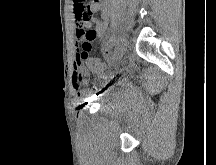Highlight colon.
<instances>
[{
  "label": "colon",
  "instance_id": "1",
  "mask_svg": "<svg viewBox=\"0 0 216 165\" xmlns=\"http://www.w3.org/2000/svg\"><path fill=\"white\" fill-rule=\"evenodd\" d=\"M83 19H89L91 13H82ZM83 42L81 47L77 50L76 59L77 62L85 63L87 67L97 73H105L108 71V67L102 61L97 58H94L90 55L91 44L90 40L95 37L94 30H84L83 33Z\"/></svg>",
  "mask_w": 216,
  "mask_h": 165
}]
</instances>
